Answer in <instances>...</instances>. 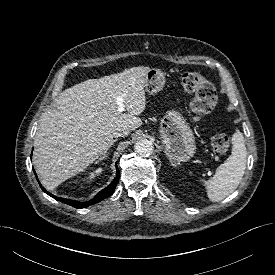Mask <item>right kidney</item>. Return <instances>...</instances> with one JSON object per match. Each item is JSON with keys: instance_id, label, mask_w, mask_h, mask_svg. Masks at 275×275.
Wrapping results in <instances>:
<instances>
[{"instance_id": "1", "label": "right kidney", "mask_w": 275, "mask_h": 275, "mask_svg": "<svg viewBox=\"0 0 275 275\" xmlns=\"http://www.w3.org/2000/svg\"><path fill=\"white\" fill-rule=\"evenodd\" d=\"M101 172H102V168H98L95 171L91 172L90 175H89V177L93 178L96 174H99Z\"/></svg>"}]
</instances>
